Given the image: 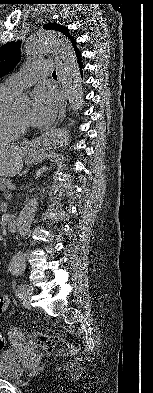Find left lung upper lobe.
I'll list each match as a JSON object with an SVG mask.
<instances>
[{"label":"left lung upper lobe","instance_id":"left-lung-upper-lobe-1","mask_svg":"<svg viewBox=\"0 0 153 393\" xmlns=\"http://www.w3.org/2000/svg\"><path fill=\"white\" fill-rule=\"evenodd\" d=\"M46 30H55L67 36L73 45L76 43L69 29L61 24L49 23L43 26ZM75 47V46H74ZM75 51L78 52L75 47ZM20 42L7 43L0 47V78L12 71L20 59Z\"/></svg>","mask_w":153,"mask_h":393}]
</instances>
